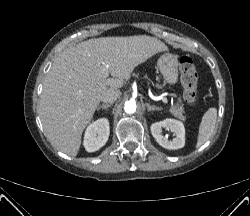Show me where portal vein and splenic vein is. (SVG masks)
I'll return each instance as SVG.
<instances>
[{
	"mask_svg": "<svg viewBox=\"0 0 250 216\" xmlns=\"http://www.w3.org/2000/svg\"><path fill=\"white\" fill-rule=\"evenodd\" d=\"M108 75H109V67L106 66L105 69L103 70V77H108ZM161 100L166 104L168 103V100L165 97H162Z\"/></svg>",
	"mask_w": 250,
	"mask_h": 216,
	"instance_id": "18ae733b",
	"label": "portal vein and splenic vein"
}]
</instances>
